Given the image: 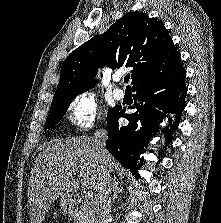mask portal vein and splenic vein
<instances>
[{
    "instance_id": "obj_1",
    "label": "portal vein and splenic vein",
    "mask_w": 221,
    "mask_h": 223,
    "mask_svg": "<svg viewBox=\"0 0 221 223\" xmlns=\"http://www.w3.org/2000/svg\"><path fill=\"white\" fill-rule=\"evenodd\" d=\"M85 201L87 202V203H92V202H94V195H93V192H91V191H88V192H86L85 193Z\"/></svg>"
}]
</instances>
